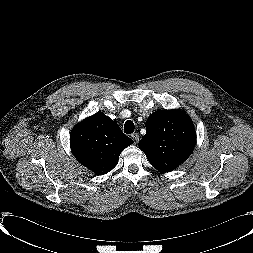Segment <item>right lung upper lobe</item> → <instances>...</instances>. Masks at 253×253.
Returning <instances> with one entry per match:
<instances>
[{
  "instance_id": "obj_1",
  "label": "right lung upper lobe",
  "mask_w": 253,
  "mask_h": 253,
  "mask_svg": "<svg viewBox=\"0 0 253 253\" xmlns=\"http://www.w3.org/2000/svg\"><path fill=\"white\" fill-rule=\"evenodd\" d=\"M132 143L118 124L102 112L77 124L70 136L76 159L97 175L111 171L122 150Z\"/></svg>"
}]
</instances>
